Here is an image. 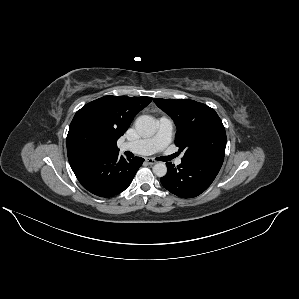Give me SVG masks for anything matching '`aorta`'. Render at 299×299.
Listing matches in <instances>:
<instances>
[{
  "label": "aorta",
  "mask_w": 299,
  "mask_h": 299,
  "mask_svg": "<svg viewBox=\"0 0 299 299\" xmlns=\"http://www.w3.org/2000/svg\"><path fill=\"white\" fill-rule=\"evenodd\" d=\"M135 129L139 136L149 138L156 133L157 126L153 118L147 115H142L137 118ZM152 169L153 173L158 177H163L167 173L166 164L163 162L156 163Z\"/></svg>",
  "instance_id": "obj_1"
}]
</instances>
